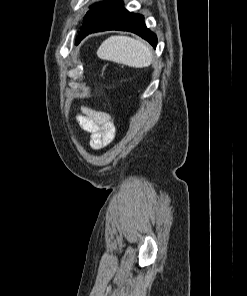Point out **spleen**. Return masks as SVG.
Wrapping results in <instances>:
<instances>
[{
    "instance_id": "obj_1",
    "label": "spleen",
    "mask_w": 247,
    "mask_h": 296,
    "mask_svg": "<svg viewBox=\"0 0 247 296\" xmlns=\"http://www.w3.org/2000/svg\"><path fill=\"white\" fill-rule=\"evenodd\" d=\"M99 58L133 68L151 65L153 54L151 48L142 40L127 36H111L97 51Z\"/></svg>"
}]
</instances>
